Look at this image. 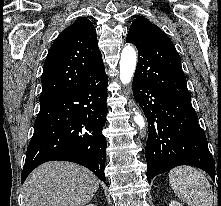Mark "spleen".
Instances as JSON below:
<instances>
[{
  "mask_svg": "<svg viewBox=\"0 0 221 206\" xmlns=\"http://www.w3.org/2000/svg\"><path fill=\"white\" fill-rule=\"evenodd\" d=\"M169 184L179 199L189 206H212V187L205 175L189 166L177 167L169 173Z\"/></svg>",
  "mask_w": 221,
  "mask_h": 206,
  "instance_id": "3e777b00",
  "label": "spleen"
}]
</instances>
